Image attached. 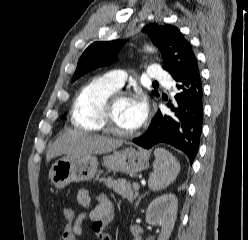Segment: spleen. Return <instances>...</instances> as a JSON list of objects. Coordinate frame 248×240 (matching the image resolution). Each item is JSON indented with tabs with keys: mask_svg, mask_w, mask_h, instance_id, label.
I'll return each mask as SVG.
<instances>
[{
	"mask_svg": "<svg viewBox=\"0 0 248 240\" xmlns=\"http://www.w3.org/2000/svg\"><path fill=\"white\" fill-rule=\"evenodd\" d=\"M154 156L153 173L149 176L148 186L153 191H159L165 189L175 181L180 172V164L164 148H156L154 150Z\"/></svg>",
	"mask_w": 248,
	"mask_h": 240,
	"instance_id": "spleen-1",
	"label": "spleen"
}]
</instances>
